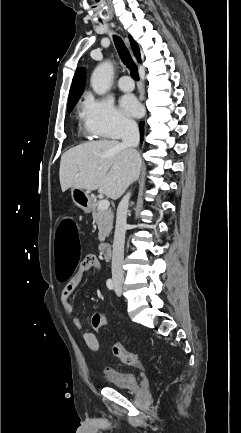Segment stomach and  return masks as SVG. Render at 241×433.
Masks as SVG:
<instances>
[{"label":"stomach","mask_w":241,"mask_h":433,"mask_svg":"<svg viewBox=\"0 0 241 433\" xmlns=\"http://www.w3.org/2000/svg\"><path fill=\"white\" fill-rule=\"evenodd\" d=\"M71 196L74 204L84 212L88 213L91 210L93 200L89 191L73 188L71 190Z\"/></svg>","instance_id":"obj_1"}]
</instances>
